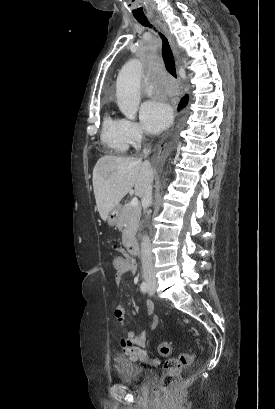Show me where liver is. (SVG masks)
I'll list each match as a JSON object with an SVG mask.
<instances>
[{"label": "liver", "instance_id": "1", "mask_svg": "<svg viewBox=\"0 0 275 409\" xmlns=\"http://www.w3.org/2000/svg\"><path fill=\"white\" fill-rule=\"evenodd\" d=\"M153 174L149 160L143 162L134 156H101L93 170V188L101 219L106 221L110 211L119 205L132 186L137 196H143Z\"/></svg>", "mask_w": 275, "mask_h": 409}]
</instances>
